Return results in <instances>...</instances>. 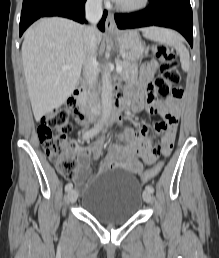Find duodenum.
Masks as SVG:
<instances>
[{
	"label": "duodenum",
	"instance_id": "410a0bca",
	"mask_svg": "<svg viewBox=\"0 0 219 258\" xmlns=\"http://www.w3.org/2000/svg\"><path fill=\"white\" fill-rule=\"evenodd\" d=\"M85 86H77L70 98L68 99V106L73 111V114L80 124H87L92 122H98L100 120V115L97 113L96 109L88 107L85 104ZM125 101L124 98L119 94L115 99L108 119H118L122 113Z\"/></svg>",
	"mask_w": 219,
	"mask_h": 258
}]
</instances>
